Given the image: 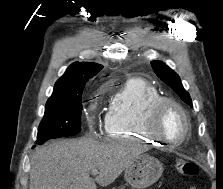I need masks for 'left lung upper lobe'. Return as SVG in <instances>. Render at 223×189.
Returning a JSON list of instances; mask_svg holds the SVG:
<instances>
[{"label":"left lung upper lobe","instance_id":"obj_1","mask_svg":"<svg viewBox=\"0 0 223 189\" xmlns=\"http://www.w3.org/2000/svg\"><path fill=\"white\" fill-rule=\"evenodd\" d=\"M151 65L156 75L171 87L185 103L192 106L189 93L183 88L179 76L161 61H152Z\"/></svg>","mask_w":223,"mask_h":189}]
</instances>
